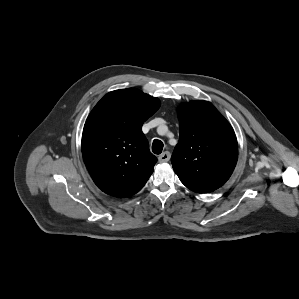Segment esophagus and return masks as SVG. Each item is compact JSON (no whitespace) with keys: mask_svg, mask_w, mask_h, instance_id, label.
<instances>
[{"mask_svg":"<svg viewBox=\"0 0 299 299\" xmlns=\"http://www.w3.org/2000/svg\"><path fill=\"white\" fill-rule=\"evenodd\" d=\"M171 154L168 151L163 152L161 155H159L158 157V161L160 163H165L168 162L170 160Z\"/></svg>","mask_w":299,"mask_h":299,"instance_id":"34e87169","label":"esophagus"}]
</instances>
